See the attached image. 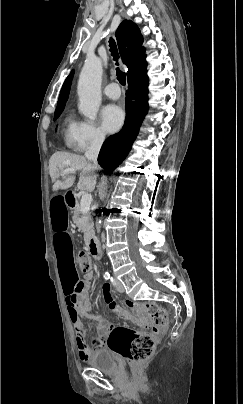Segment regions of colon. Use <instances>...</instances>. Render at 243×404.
I'll return each instance as SVG.
<instances>
[{"label": "colon", "mask_w": 243, "mask_h": 404, "mask_svg": "<svg viewBox=\"0 0 243 404\" xmlns=\"http://www.w3.org/2000/svg\"><path fill=\"white\" fill-rule=\"evenodd\" d=\"M93 267V261L85 254L80 253L79 268L82 272H89ZM127 306L137 310H143L150 315L158 327H166L168 324L167 311L155 303H144L128 300ZM159 329L154 328L151 332H138L125 326L114 327L107 340L108 348L131 361L143 362L154 352Z\"/></svg>", "instance_id": "5ec220e1"}]
</instances>
